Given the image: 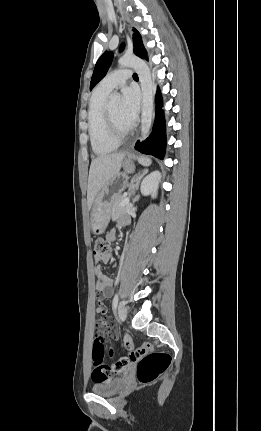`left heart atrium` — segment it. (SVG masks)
Returning a JSON list of instances; mask_svg holds the SVG:
<instances>
[{
	"instance_id": "39dd6f15",
	"label": "left heart atrium",
	"mask_w": 261,
	"mask_h": 431,
	"mask_svg": "<svg viewBox=\"0 0 261 431\" xmlns=\"http://www.w3.org/2000/svg\"><path fill=\"white\" fill-rule=\"evenodd\" d=\"M139 112V95L136 89L125 87L122 90L120 114L124 124L131 128L134 126Z\"/></svg>"
}]
</instances>
